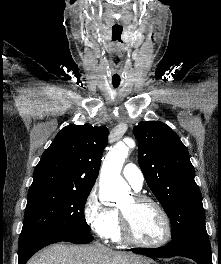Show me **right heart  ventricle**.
<instances>
[{
	"mask_svg": "<svg viewBox=\"0 0 221 264\" xmlns=\"http://www.w3.org/2000/svg\"><path fill=\"white\" fill-rule=\"evenodd\" d=\"M116 215H117V218H116V223H115V226H114V229L110 235V238L115 241V242H122L123 241V237L121 235V230H120V221H119V215H118V212L116 211Z\"/></svg>",
	"mask_w": 221,
	"mask_h": 264,
	"instance_id": "e07e8e85",
	"label": "right heart ventricle"
}]
</instances>
